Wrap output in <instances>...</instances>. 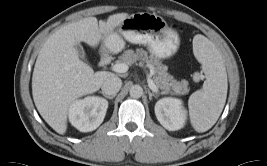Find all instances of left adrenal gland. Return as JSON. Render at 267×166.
Returning a JSON list of instances; mask_svg holds the SVG:
<instances>
[{"instance_id": "1", "label": "left adrenal gland", "mask_w": 267, "mask_h": 166, "mask_svg": "<svg viewBox=\"0 0 267 166\" xmlns=\"http://www.w3.org/2000/svg\"><path fill=\"white\" fill-rule=\"evenodd\" d=\"M147 92H148V95H149V100L151 101L152 100V97H155L157 98V94L155 93H152L149 89H147Z\"/></svg>"}]
</instances>
